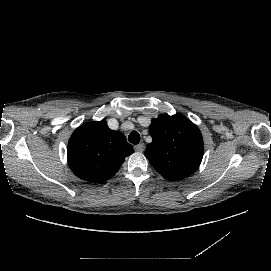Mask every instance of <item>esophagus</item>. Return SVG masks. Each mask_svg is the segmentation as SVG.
Returning a JSON list of instances; mask_svg holds the SVG:
<instances>
[{
	"mask_svg": "<svg viewBox=\"0 0 271 271\" xmlns=\"http://www.w3.org/2000/svg\"><path fill=\"white\" fill-rule=\"evenodd\" d=\"M134 150L136 152H143L145 150V144L144 143H140L138 145L134 146Z\"/></svg>",
	"mask_w": 271,
	"mask_h": 271,
	"instance_id": "obj_1",
	"label": "esophagus"
}]
</instances>
